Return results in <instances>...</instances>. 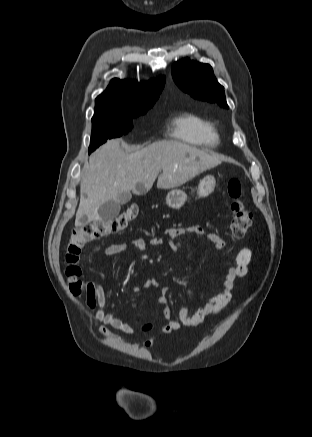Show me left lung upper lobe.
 <instances>
[{
    "label": "left lung upper lobe",
    "instance_id": "5c2ea615",
    "mask_svg": "<svg viewBox=\"0 0 312 437\" xmlns=\"http://www.w3.org/2000/svg\"><path fill=\"white\" fill-rule=\"evenodd\" d=\"M172 76L178 87L193 98L228 108L224 87L217 82L209 64L182 59L173 65Z\"/></svg>",
    "mask_w": 312,
    "mask_h": 437
}]
</instances>
